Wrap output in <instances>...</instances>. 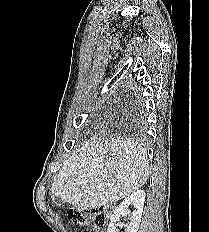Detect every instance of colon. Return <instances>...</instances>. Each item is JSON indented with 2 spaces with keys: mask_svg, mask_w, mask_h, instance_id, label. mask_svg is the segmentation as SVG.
I'll use <instances>...</instances> for the list:
<instances>
[{
  "mask_svg": "<svg viewBox=\"0 0 209 232\" xmlns=\"http://www.w3.org/2000/svg\"><path fill=\"white\" fill-rule=\"evenodd\" d=\"M68 216L79 227L88 228L92 225L100 228L106 223L107 210L104 207L71 209Z\"/></svg>",
  "mask_w": 209,
  "mask_h": 232,
  "instance_id": "5ec220e1",
  "label": "colon"
}]
</instances>
